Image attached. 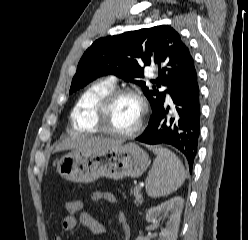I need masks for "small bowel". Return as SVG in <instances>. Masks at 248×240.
<instances>
[{
	"mask_svg": "<svg viewBox=\"0 0 248 240\" xmlns=\"http://www.w3.org/2000/svg\"><path fill=\"white\" fill-rule=\"evenodd\" d=\"M91 199L93 201L104 200L113 207L118 206L116 197L110 192L94 191L91 194ZM78 222L88 227L94 235H99L104 231V226L98 219L83 211L77 215H66L62 222V229L65 232H70L75 229ZM117 222L124 238L129 240L131 237V230L127 223V218L123 212L117 213ZM54 240H62V238L60 236H55Z\"/></svg>",
	"mask_w": 248,
	"mask_h": 240,
	"instance_id": "obj_1",
	"label": "small bowel"
}]
</instances>
